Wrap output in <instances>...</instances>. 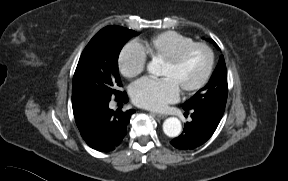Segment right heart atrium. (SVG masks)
<instances>
[{"label": "right heart atrium", "mask_w": 288, "mask_h": 181, "mask_svg": "<svg viewBox=\"0 0 288 181\" xmlns=\"http://www.w3.org/2000/svg\"><path fill=\"white\" fill-rule=\"evenodd\" d=\"M117 66L125 78L134 79L144 71L146 56L137 44H127L119 52Z\"/></svg>", "instance_id": "obj_1"}]
</instances>
